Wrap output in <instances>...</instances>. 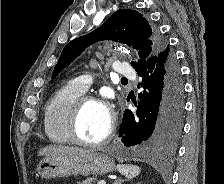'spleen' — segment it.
Instances as JSON below:
<instances>
[{
	"instance_id": "obj_1",
	"label": "spleen",
	"mask_w": 224,
	"mask_h": 184,
	"mask_svg": "<svg viewBox=\"0 0 224 184\" xmlns=\"http://www.w3.org/2000/svg\"><path fill=\"white\" fill-rule=\"evenodd\" d=\"M117 169L120 173H122L129 179L138 176L141 172L140 167H138L136 165H130V164H127V165L119 164V165H117Z\"/></svg>"
}]
</instances>
